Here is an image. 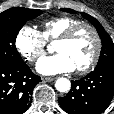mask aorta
I'll return each mask as SVG.
<instances>
[{
  "label": "aorta",
  "mask_w": 114,
  "mask_h": 114,
  "mask_svg": "<svg viewBox=\"0 0 114 114\" xmlns=\"http://www.w3.org/2000/svg\"><path fill=\"white\" fill-rule=\"evenodd\" d=\"M55 87L59 92H67L71 88V83L67 78H59L55 83Z\"/></svg>",
  "instance_id": "1"
}]
</instances>
